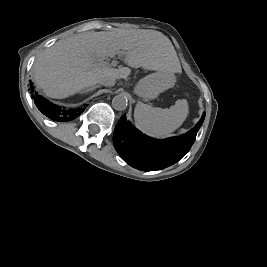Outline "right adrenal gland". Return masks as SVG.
Instances as JSON below:
<instances>
[{"mask_svg":"<svg viewBox=\"0 0 267 267\" xmlns=\"http://www.w3.org/2000/svg\"><path fill=\"white\" fill-rule=\"evenodd\" d=\"M99 87H100V85H94L93 87L84 89V90L81 91L80 93H88V92L93 91V90H95L96 88H99Z\"/></svg>","mask_w":267,"mask_h":267,"instance_id":"right-adrenal-gland-1","label":"right adrenal gland"}]
</instances>
